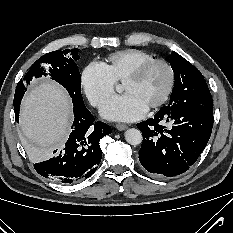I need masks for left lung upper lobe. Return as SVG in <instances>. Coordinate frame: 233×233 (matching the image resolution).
I'll return each instance as SVG.
<instances>
[{"mask_svg":"<svg viewBox=\"0 0 233 233\" xmlns=\"http://www.w3.org/2000/svg\"><path fill=\"white\" fill-rule=\"evenodd\" d=\"M175 83L167 106L213 114V100L200 71L176 52L170 56Z\"/></svg>","mask_w":233,"mask_h":233,"instance_id":"5c2ea615","label":"left lung upper lobe"}]
</instances>
